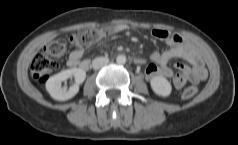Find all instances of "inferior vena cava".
Masks as SVG:
<instances>
[{"label": "inferior vena cava", "instance_id": "inferior-vena-cava-1", "mask_svg": "<svg viewBox=\"0 0 238 145\" xmlns=\"http://www.w3.org/2000/svg\"><path fill=\"white\" fill-rule=\"evenodd\" d=\"M108 63H109V59L107 57H96L92 61V67L93 69L97 70L106 66Z\"/></svg>", "mask_w": 238, "mask_h": 145}]
</instances>
